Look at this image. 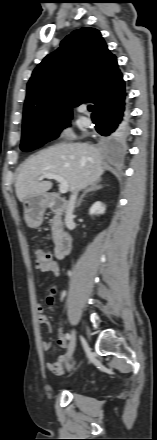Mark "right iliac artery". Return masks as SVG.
Segmentation results:
<instances>
[{"label":"right iliac artery","mask_w":157,"mask_h":440,"mask_svg":"<svg viewBox=\"0 0 157 440\" xmlns=\"http://www.w3.org/2000/svg\"><path fill=\"white\" fill-rule=\"evenodd\" d=\"M66 339L70 340L71 339V334L70 333H66Z\"/></svg>","instance_id":"obj_1"}]
</instances>
